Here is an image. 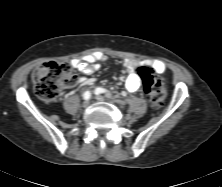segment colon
Here are the masks:
<instances>
[{"instance_id":"5ec220e1","label":"colon","mask_w":222,"mask_h":187,"mask_svg":"<svg viewBox=\"0 0 222 187\" xmlns=\"http://www.w3.org/2000/svg\"><path fill=\"white\" fill-rule=\"evenodd\" d=\"M138 75L150 104L155 108L160 107L166 97L163 80L148 67H141ZM33 82L37 96L44 102H53L65 85L74 82V75L68 64L50 61L35 69Z\"/></svg>"}]
</instances>
